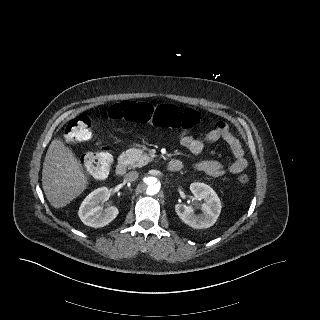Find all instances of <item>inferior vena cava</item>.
I'll return each instance as SVG.
<instances>
[{"label": "inferior vena cava", "instance_id": "obj_1", "mask_svg": "<svg viewBox=\"0 0 320 320\" xmlns=\"http://www.w3.org/2000/svg\"><path fill=\"white\" fill-rule=\"evenodd\" d=\"M139 176V173L137 171H131L128 172L125 176H124V181L125 182H132L135 181Z\"/></svg>", "mask_w": 320, "mask_h": 320}]
</instances>
